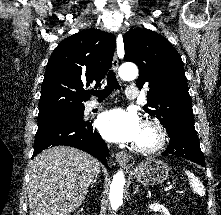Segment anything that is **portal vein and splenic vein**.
Instances as JSON below:
<instances>
[{
  "label": "portal vein and splenic vein",
  "instance_id": "18ae733b",
  "mask_svg": "<svg viewBox=\"0 0 221 215\" xmlns=\"http://www.w3.org/2000/svg\"><path fill=\"white\" fill-rule=\"evenodd\" d=\"M171 189H172V187L169 186V187H167V188L165 189V191H171Z\"/></svg>",
  "mask_w": 221,
  "mask_h": 215
}]
</instances>
